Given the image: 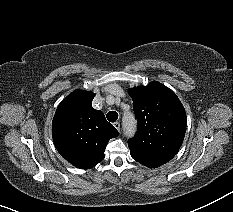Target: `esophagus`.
Returning a JSON list of instances; mask_svg holds the SVG:
<instances>
[{"mask_svg": "<svg viewBox=\"0 0 233 212\" xmlns=\"http://www.w3.org/2000/svg\"><path fill=\"white\" fill-rule=\"evenodd\" d=\"M113 126H114L118 131H120V123H119V122L113 123Z\"/></svg>", "mask_w": 233, "mask_h": 212, "instance_id": "34e87169", "label": "esophagus"}]
</instances>
